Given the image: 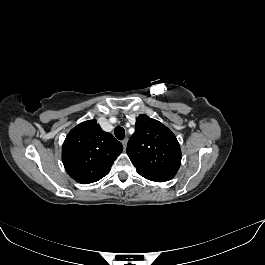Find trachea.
<instances>
[{
    "label": "trachea",
    "instance_id": "trachea-1",
    "mask_svg": "<svg viewBox=\"0 0 265 265\" xmlns=\"http://www.w3.org/2000/svg\"><path fill=\"white\" fill-rule=\"evenodd\" d=\"M115 136L117 139L122 140L125 136V130L123 127L118 126L115 128Z\"/></svg>",
    "mask_w": 265,
    "mask_h": 265
}]
</instances>
